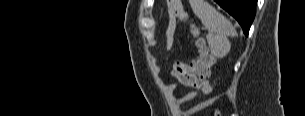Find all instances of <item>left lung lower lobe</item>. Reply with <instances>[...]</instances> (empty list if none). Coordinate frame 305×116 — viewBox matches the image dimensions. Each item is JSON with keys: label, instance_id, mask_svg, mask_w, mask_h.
Here are the masks:
<instances>
[{"label": "left lung lower lobe", "instance_id": "1", "mask_svg": "<svg viewBox=\"0 0 305 116\" xmlns=\"http://www.w3.org/2000/svg\"><path fill=\"white\" fill-rule=\"evenodd\" d=\"M215 2L239 22L247 36L255 17L257 0H215Z\"/></svg>", "mask_w": 305, "mask_h": 116}]
</instances>
